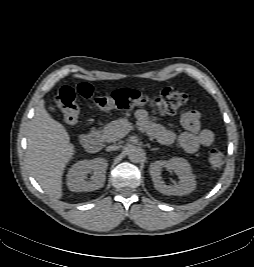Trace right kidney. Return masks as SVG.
I'll return each instance as SVG.
<instances>
[{
    "label": "right kidney",
    "instance_id": "obj_1",
    "mask_svg": "<svg viewBox=\"0 0 254 267\" xmlns=\"http://www.w3.org/2000/svg\"><path fill=\"white\" fill-rule=\"evenodd\" d=\"M107 167L108 163L104 158L76 162L67 174L68 188L73 192L94 191L102 188L106 179ZM89 173L92 176L87 179Z\"/></svg>",
    "mask_w": 254,
    "mask_h": 267
}]
</instances>
